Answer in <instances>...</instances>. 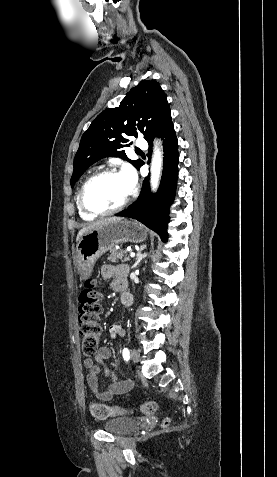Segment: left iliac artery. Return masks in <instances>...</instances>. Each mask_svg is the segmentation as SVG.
<instances>
[{"mask_svg": "<svg viewBox=\"0 0 277 477\" xmlns=\"http://www.w3.org/2000/svg\"><path fill=\"white\" fill-rule=\"evenodd\" d=\"M123 358L124 360L128 361L129 358H130V353H129V350L127 348H124L123 349Z\"/></svg>", "mask_w": 277, "mask_h": 477, "instance_id": "obj_1", "label": "left iliac artery"}]
</instances>
